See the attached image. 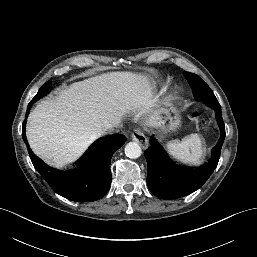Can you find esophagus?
I'll return each instance as SVG.
<instances>
[{"mask_svg": "<svg viewBox=\"0 0 257 257\" xmlns=\"http://www.w3.org/2000/svg\"><path fill=\"white\" fill-rule=\"evenodd\" d=\"M130 137L133 141L137 142L142 148L148 147V140L140 130L132 131Z\"/></svg>", "mask_w": 257, "mask_h": 257, "instance_id": "34e87169", "label": "esophagus"}]
</instances>
